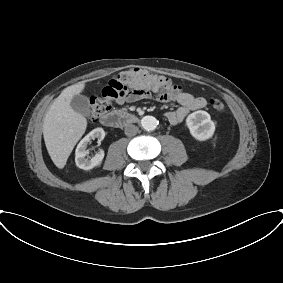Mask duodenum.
Here are the masks:
<instances>
[{"label":"duodenum","mask_w":283,"mask_h":283,"mask_svg":"<svg viewBox=\"0 0 283 283\" xmlns=\"http://www.w3.org/2000/svg\"><path fill=\"white\" fill-rule=\"evenodd\" d=\"M138 120L139 118L135 114L117 110L108 112L101 117V123L104 126L113 128L134 124L137 123Z\"/></svg>","instance_id":"duodenum-1"}]
</instances>
